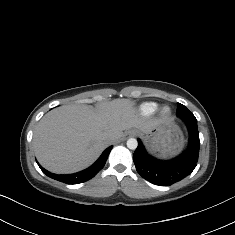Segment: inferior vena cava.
<instances>
[{"instance_id": "obj_1", "label": "inferior vena cava", "mask_w": 235, "mask_h": 235, "mask_svg": "<svg viewBox=\"0 0 235 235\" xmlns=\"http://www.w3.org/2000/svg\"><path fill=\"white\" fill-rule=\"evenodd\" d=\"M109 139H110L111 141H114V140L119 139V136L109 137Z\"/></svg>"}]
</instances>
